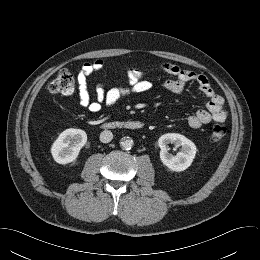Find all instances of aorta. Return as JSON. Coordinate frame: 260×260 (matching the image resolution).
Instances as JSON below:
<instances>
[{"mask_svg":"<svg viewBox=\"0 0 260 260\" xmlns=\"http://www.w3.org/2000/svg\"><path fill=\"white\" fill-rule=\"evenodd\" d=\"M120 146L124 150H130L133 147V140L131 138H123L120 142Z\"/></svg>","mask_w":260,"mask_h":260,"instance_id":"762f6f07","label":"aorta"}]
</instances>
